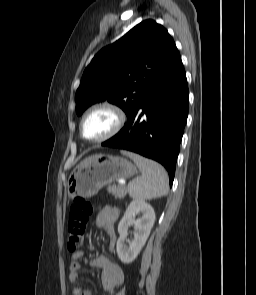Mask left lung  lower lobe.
Listing matches in <instances>:
<instances>
[{"label": "left lung lower lobe", "mask_w": 256, "mask_h": 295, "mask_svg": "<svg viewBox=\"0 0 256 295\" xmlns=\"http://www.w3.org/2000/svg\"><path fill=\"white\" fill-rule=\"evenodd\" d=\"M189 91L182 61L144 97L127 123L102 146L138 153L161 163L173 183L188 116ZM145 115L146 119L141 120Z\"/></svg>", "instance_id": "obj_1"}]
</instances>
